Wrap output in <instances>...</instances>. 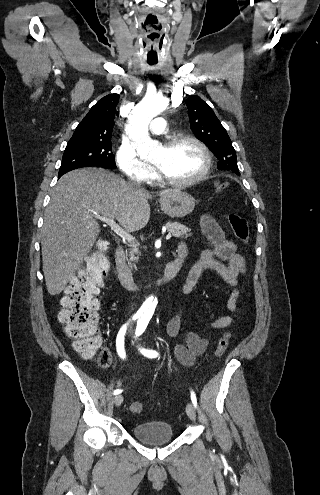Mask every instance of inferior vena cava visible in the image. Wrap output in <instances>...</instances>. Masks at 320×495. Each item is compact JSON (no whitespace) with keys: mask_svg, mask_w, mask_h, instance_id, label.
Instances as JSON below:
<instances>
[{"mask_svg":"<svg viewBox=\"0 0 320 495\" xmlns=\"http://www.w3.org/2000/svg\"><path fill=\"white\" fill-rule=\"evenodd\" d=\"M129 184L135 189H138L140 187V183L136 181L129 182Z\"/></svg>","mask_w":320,"mask_h":495,"instance_id":"inferior-vena-cava-1","label":"inferior vena cava"}]
</instances>
